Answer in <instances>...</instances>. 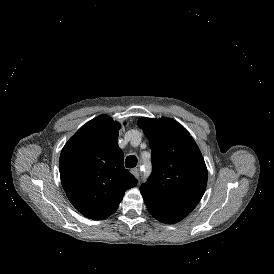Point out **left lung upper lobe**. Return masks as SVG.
Listing matches in <instances>:
<instances>
[{
    "label": "left lung upper lobe",
    "instance_id": "obj_1",
    "mask_svg": "<svg viewBox=\"0 0 274 274\" xmlns=\"http://www.w3.org/2000/svg\"><path fill=\"white\" fill-rule=\"evenodd\" d=\"M152 149V174L142 184V196L190 213L207 184L202 154L188 131L171 118H141L138 122Z\"/></svg>",
    "mask_w": 274,
    "mask_h": 274
}]
</instances>
